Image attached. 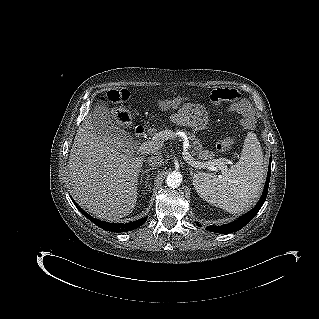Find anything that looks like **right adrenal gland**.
<instances>
[{
  "label": "right adrenal gland",
  "instance_id": "right-adrenal-gland-1",
  "mask_svg": "<svg viewBox=\"0 0 319 319\" xmlns=\"http://www.w3.org/2000/svg\"><path fill=\"white\" fill-rule=\"evenodd\" d=\"M151 170H153V168L145 169V170L143 171V173L140 175V177H141V182H142L143 176L146 175V181H145L146 185H147V183H148L149 171H151Z\"/></svg>",
  "mask_w": 319,
  "mask_h": 319
}]
</instances>
